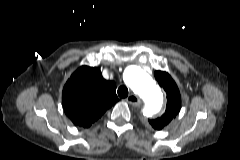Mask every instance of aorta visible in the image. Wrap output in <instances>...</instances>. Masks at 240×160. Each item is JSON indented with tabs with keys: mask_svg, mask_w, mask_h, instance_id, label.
Instances as JSON below:
<instances>
[{
	"mask_svg": "<svg viewBox=\"0 0 240 160\" xmlns=\"http://www.w3.org/2000/svg\"><path fill=\"white\" fill-rule=\"evenodd\" d=\"M124 80L143 101V114L153 116L163 106V94L155 81L140 67L129 66L124 72Z\"/></svg>",
	"mask_w": 240,
	"mask_h": 160,
	"instance_id": "aorta-1",
	"label": "aorta"
}]
</instances>
